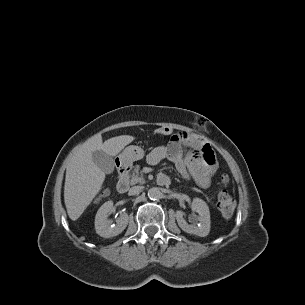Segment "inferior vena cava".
I'll use <instances>...</instances> for the list:
<instances>
[{
	"mask_svg": "<svg viewBox=\"0 0 305 305\" xmlns=\"http://www.w3.org/2000/svg\"><path fill=\"white\" fill-rule=\"evenodd\" d=\"M142 190V187L141 186H134V187H131L129 192H128V195L132 196V195H137L141 192Z\"/></svg>",
	"mask_w": 305,
	"mask_h": 305,
	"instance_id": "inferior-vena-cava-1",
	"label": "inferior vena cava"
}]
</instances>
